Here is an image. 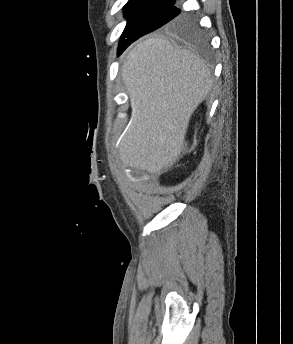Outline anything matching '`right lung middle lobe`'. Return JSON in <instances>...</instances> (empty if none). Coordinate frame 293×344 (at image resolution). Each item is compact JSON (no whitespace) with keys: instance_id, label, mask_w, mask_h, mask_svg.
Wrapping results in <instances>:
<instances>
[{"instance_id":"obj_1","label":"right lung middle lobe","mask_w":293,"mask_h":344,"mask_svg":"<svg viewBox=\"0 0 293 344\" xmlns=\"http://www.w3.org/2000/svg\"><path fill=\"white\" fill-rule=\"evenodd\" d=\"M128 23L121 36L119 54L139 37L162 26L177 33L183 39L203 46L206 43L204 34L197 29L194 22L174 5L161 3H128L124 7ZM132 13V14H131Z\"/></svg>"}]
</instances>
